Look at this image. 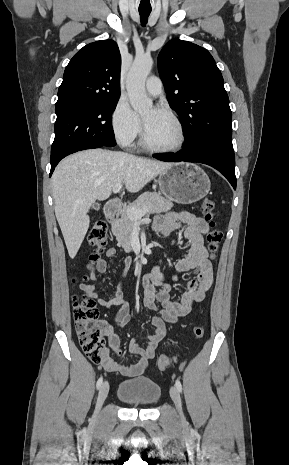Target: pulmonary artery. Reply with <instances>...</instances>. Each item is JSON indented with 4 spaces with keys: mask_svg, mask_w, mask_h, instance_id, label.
I'll return each instance as SVG.
<instances>
[{
    "mask_svg": "<svg viewBox=\"0 0 289 465\" xmlns=\"http://www.w3.org/2000/svg\"><path fill=\"white\" fill-rule=\"evenodd\" d=\"M146 91L151 96H157L162 92V82L159 77L151 76L146 81Z\"/></svg>",
    "mask_w": 289,
    "mask_h": 465,
    "instance_id": "1",
    "label": "pulmonary artery"
}]
</instances>
